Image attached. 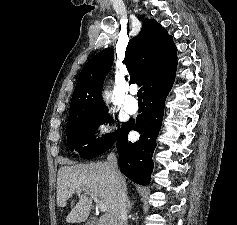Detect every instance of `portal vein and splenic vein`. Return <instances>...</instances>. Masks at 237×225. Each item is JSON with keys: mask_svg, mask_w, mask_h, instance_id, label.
Wrapping results in <instances>:
<instances>
[{"mask_svg": "<svg viewBox=\"0 0 237 225\" xmlns=\"http://www.w3.org/2000/svg\"><path fill=\"white\" fill-rule=\"evenodd\" d=\"M78 191H81V189L79 188ZM88 194H90V196L92 197V199L95 201L96 203V206L102 211V212H105L107 210V207L106 205L101 202L98 198H97V195L87 191Z\"/></svg>", "mask_w": 237, "mask_h": 225, "instance_id": "1", "label": "portal vein and splenic vein"}]
</instances>
